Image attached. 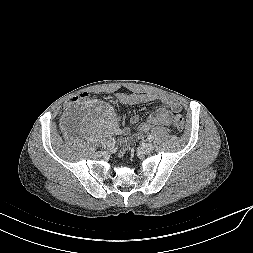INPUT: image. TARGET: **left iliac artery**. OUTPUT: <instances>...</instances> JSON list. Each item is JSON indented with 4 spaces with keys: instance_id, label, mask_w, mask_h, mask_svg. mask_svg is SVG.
Segmentation results:
<instances>
[{
    "instance_id": "44dca946",
    "label": "left iliac artery",
    "mask_w": 253,
    "mask_h": 253,
    "mask_svg": "<svg viewBox=\"0 0 253 253\" xmlns=\"http://www.w3.org/2000/svg\"><path fill=\"white\" fill-rule=\"evenodd\" d=\"M147 139H148L150 142H152V141L154 140V136H153V135H149V136L147 137Z\"/></svg>"
}]
</instances>
